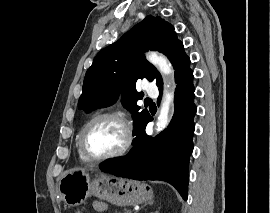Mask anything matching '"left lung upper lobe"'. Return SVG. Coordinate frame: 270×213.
<instances>
[{
	"label": "left lung upper lobe",
	"instance_id": "left-lung-upper-lobe-1",
	"mask_svg": "<svg viewBox=\"0 0 270 213\" xmlns=\"http://www.w3.org/2000/svg\"><path fill=\"white\" fill-rule=\"evenodd\" d=\"M156 50L165 54L173 64L175 78L189 68L190 59L178 40L174 27L161 17L147 16L117 42L102 49L88 69L79 109L91 111L112 105L121 94L122 104L133 115L136 129L149 116L136 105L142 93L136 90L138 79L156 80L162 88V78L143 52Z\"/></svg>",
	"mask_w": 270,
	"mask_h": 213
}]
</instances>
